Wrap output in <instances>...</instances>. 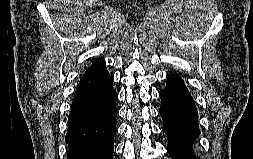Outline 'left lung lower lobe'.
I'll return each mask as SVG.
<instances>
[{"label":"left lung lower lobe","mask_w":253,"mask_h":159,"mask_svg":"<svg viewBox=\"0 0 253 159\" xmlns=\"http://www.w3.org/2000/svg\"><path fill=\"white\" fill-rule=\"evenodd\" d=\"M167 80L159 109L168 138L167 151L172 159H194L192 146L200 134L195 103L179 75L169 74Z\"/></svg>","instance_id":"1"}]
</instances>
